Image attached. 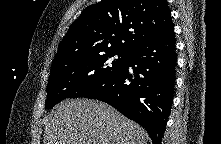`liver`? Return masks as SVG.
I'll return each mask as SVG.
<instances>
[{
  "label": "liver",
  "instance_id": "1",
  "mask_svg": "<svg viewBox=\"0 0 221 144\" xmlns=\"http://www.w3.org/2000/svg\"><path fill=\"white\" fill-rule=\"evenodd\" d=\"M44 133V144H147L140 125L110 105L89 99L59 103Z\"/></svg>",
  "mask_w": 221,
  "mask_h": 144
}]
</instances>
